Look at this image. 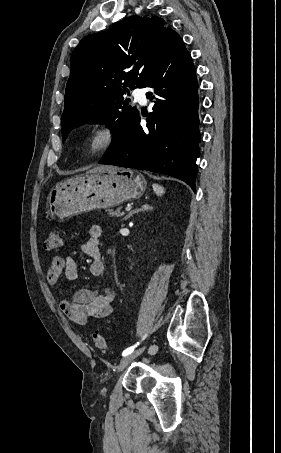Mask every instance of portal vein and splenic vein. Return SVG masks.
Here are the masks:
<instances>
[{
  "mask_svg": "<svg viewBox=\"0 0 281 453\" xmlns=\"http://www.w3.org/2000/svg\"><path fill=\"white\" fill-rule=\"evenodd\" d=\"M132 207H133L132 205L131 206L128 205L127 207H125V212H131Z\"/></svg>",
  "mask_w": 281,
  "mask_h": 453,
  "instance_id": "18ae733b",
  "label": "portal vein and splenic vein"
}]
</instances>
